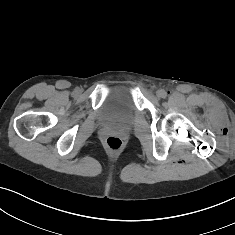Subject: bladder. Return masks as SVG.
<instances>
[{
	"label": "bladder",
	"instance_id": "1",
	"mask_svg": "<svg viewBox=\"0 0 235 235\" xmlns=\"http://www.w3.org/2000/svg\"><path fill=\"white\" fill-rule=\"evenodd\" d=\"M136 112L131 93L122 87L113 89L98 109L99 121L107 126L129 125Z\"/></svg>",
	"mask_w": 235,
	"mask_h": 235
}]
</instances>
